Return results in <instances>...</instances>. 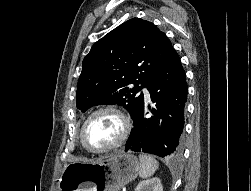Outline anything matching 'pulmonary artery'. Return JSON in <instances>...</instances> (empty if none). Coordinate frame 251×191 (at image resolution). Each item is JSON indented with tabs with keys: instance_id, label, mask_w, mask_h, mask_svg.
<instances>
[{
	"instance_id": "e3ab8cb5",
	"label": "pulmonary artery",
	"mask_w": 251,
	"mask_h": 191,
	"mask_svg": "<svg viewBox=\"0 0 251 191\" xmlns=\"http://www.w3.org/2000/svg\"><path fill=\"white\" fill-rule=\"evenodd\" d=\"M143 93H144V96H145V98L146 99H149V92H148V90L146 89V88H143Z\"/></svg>"
}]
</instances>
